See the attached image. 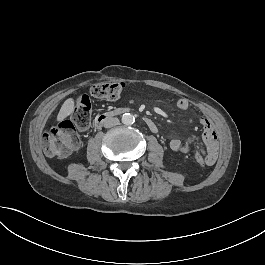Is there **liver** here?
<instances>
[{"mask_svg": "<svg viewBox=\"0 0 265 265\" xmlns=\"http://www.w3.org/2000/svg\"><path fill=\"white\" fill-rule=\"evenodd\" d=\"M73 111H74V100L72 98H69L63 103L57 115V121L59 122L63 121L67 116L72 114Z\"/></svg>", "mask_w": 265, "mask_h": 265, "instance_id": "obj_1", "label": "liver"}]
</instances>
